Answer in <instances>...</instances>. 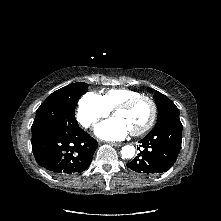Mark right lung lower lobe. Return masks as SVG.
I'll use <instances>...</instances> for the list:
<instances>
[{
	"label": "right lung lower lobe",
	"mask_w": 221,
	"mask_h": 221,
	"mask_svg": "<svg viewBox=\"0 0 221 221\" xmlns=\"http://www.w3.org/2000/svg\"><path fill=\"white\" fill-rule=\"evenodd\" d=\"M31 141L37 163L62 176L83 172L98 146L77 123L63 118L49 120L32 130Z\"/></svg>",
	"instance_id": "right-lung-lower-lobe-1"
}]
</instances>
